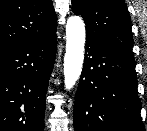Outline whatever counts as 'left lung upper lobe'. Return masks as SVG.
Instances as JSON below:
<instances>
[{
  "instance_id": "left-lung-upper-lobe-1",
  "label": "left lung upper lobe",
  "mask_w": 147,
  "mask_h": 131,
  "mask_svg": "<svg viewBox=\"0 0 147 131\" xmlns=\"http://www.w3.org/2000/svg\"><path fill=\"white\" fill-rule=\"evenodd\" d=\"M72 10L83 17L88 39L133 57L131 19L124 0H72Z\"/></svg>"
}]
</instances>
